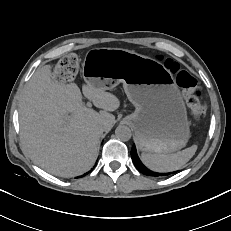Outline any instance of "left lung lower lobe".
Here are the masks:
<instances>
[{
    "label": "left lung lower lobe",
    "instance_id": "obj_1",
    "mask_svg": "<svg viewBox=\"0 0 231 231\" xmlns=\"http://www.w3.org/2000/svg\"><path fill=\"white\" fill-rule=\"evenodd\" d=\"M131 157L133 160V163L135 165V167L143 174L148 175V176H154V177H158V176H164V175H170L172 174L170 173H156V172H152L150 170H148L139 160L137 153H136V148L133 145L132 149H131ZM175 173V172H173Z\"/></svg>",
    "mask_w": 231,
    "mask_h": 231
}]
</instances>
